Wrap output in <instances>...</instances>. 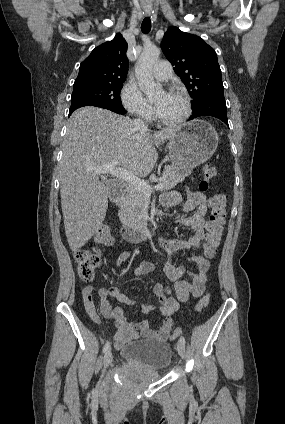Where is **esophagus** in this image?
<instances>
[{"label":"esophagus","instance_id":"obj_1","mask_svg":"<svg viewBox=\"0 0 285 424\" xmlns=\"http://www.w3.org/2000/svg\"><path fill=\"white\" fill-rule=\"evenodd\" d=\"M145 14H146L147 16H150V15H151V12H150V11H145Z\"/></svg>","mask_w":285,"mask_h":424}]
</instances>
